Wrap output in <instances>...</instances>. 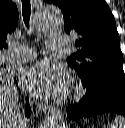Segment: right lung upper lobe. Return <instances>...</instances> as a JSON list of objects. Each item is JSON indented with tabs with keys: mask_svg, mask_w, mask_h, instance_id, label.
Instances as JSON below:
<instances>
[{
	"mask_svg": "<svg viewBox=\"0 0 125 128\" xmlns=\"http://www.w3.org/2000/svg\"><path fill=\"white\" fill-rule=\"evenodd\" d=\"M18 23V9L11 0H0V50L7 47L5 39Z\"/></svg>",
	"mask_w": 125,
	"mask_h": 128,
	"instance_id": "right-lung-upper-lobe-1",
	"label": "right lung upper lobe"
}]
</instances>
